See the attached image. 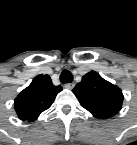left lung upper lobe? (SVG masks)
<instances>
[{"mask_svg": "<svg viewBox=\"0 0 137 145\" xmlns=\"http://www.w3.org/2000/svg\"><path fill=\"white\" fill-rule=\"evenodd\" d=\"M73 93L81 106L96 118H110L121 110V89L103 79L95 71L84 75L82 81L73 89Z\"/></svg>", "mask_w": 137, "mask_h": 145, "instance_id": "left-lung-upper-lobe-1", "label": "left lung upper lobe"}]
</instances>
